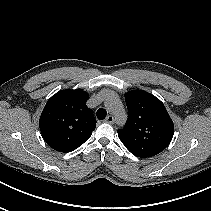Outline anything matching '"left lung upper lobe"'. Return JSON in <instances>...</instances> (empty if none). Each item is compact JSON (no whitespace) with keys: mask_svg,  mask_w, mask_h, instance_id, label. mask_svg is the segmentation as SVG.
Here are the masks:
<instances>
[{"mask_svg":"<svg viewBox=\"0 0 211 211\" xmlns=\"http://www.w3.org/2000/svg\"><path fill=\"white\" fill-rule=\"evenodd\" d=\"M128 120L118 130L125 147L140 158L152 157L163 151L172 140L174 124L164 104L152 94L133 90L125 94Z\"/></svg>","mask_w":211,"mask_h":211,"instance_id":"5c2ea615","label":"left lung upper lobe"}]
</instances>
